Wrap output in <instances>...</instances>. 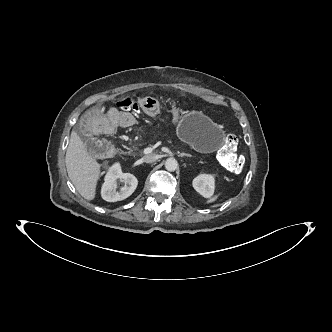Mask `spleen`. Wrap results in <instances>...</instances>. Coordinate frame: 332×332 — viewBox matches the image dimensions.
<instances>
[{"label":"spleen","mask_w":332,"mask_h":332,"mask_svg":"<svg viewBox=\"0 0 332 332\" xmlns=\"http://www.w3.org/2000/svg\"><path fill=\"white\" fill-rule=\"evenodd\" d=\"M218 197H219V195H215L213 198H211L209 201H207V203H212V202L216 201Z\"/></svg>","instance_id":"1"}]
</instances>
